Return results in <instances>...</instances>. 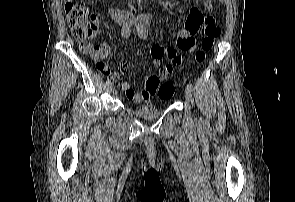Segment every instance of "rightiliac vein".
Here are the masks:
<instances>
[{"mask_svg": "<svg viewBox=\"0 0 295 202\" xmlns=\"http://www.w3.org/2000/svg\"><path fill=\"white\" fill-rule=\"evenodd\" d=\"M108 90L111 91V92H114V86L113 85H109L108 86Z\"/></svg>", "mask_w": 295, "mask_h": 202, "instance_id": "1", "label": "right iliac vein"}]
</instances>
